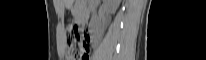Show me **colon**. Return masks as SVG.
<instances>
[{
    "label": "colon",
    "instance_id": "obj_1",
    "mask_svg": "<svg viewBox=\"0 0 206 60\" xmlns=\"http://www.w3.org/2000/svg\"><path fill=\"white\" fill-rule=\"evenodd\" d=\"M88 35L75 24L66 30L67 55L69 60H88Z\"/></svg>",
    "mask_w": 206,
    "mask_h": 60
}]
</instances>
